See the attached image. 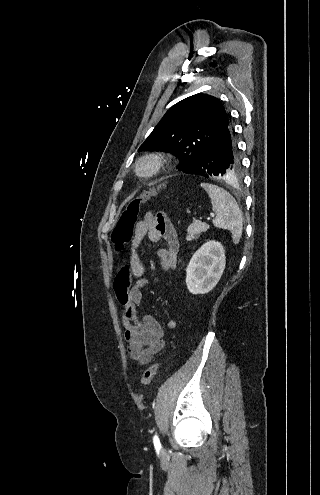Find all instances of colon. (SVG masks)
I'll use <instances>...</instances> for the list:
<instances>
[{"label":"colon","instance_id":"5ec220e1","mask_svg":"<svg viewBox=\"0 0 320 495\" xmlns=\"http://www.w3.org/2000/svg\"><path fill=\"white\" fill-rule=\"evenodd\" d=\"M154 193L155 190H150L133 197L128 201L111 234L112 242L117 250H122L131 240L141 207ZM159 366L160 361L150 365L144 371L140 378V383L142 386H147L151 383Z\"/></svg>","mask_w":320,"mask_h":495}]
</instances>
